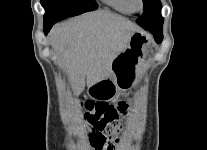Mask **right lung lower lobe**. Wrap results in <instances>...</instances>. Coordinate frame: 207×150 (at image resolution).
Here are the masks:
<instances>
[{
	"mask_svg": "<svg viewBox=\"0 0 207 150\" xmlns=\"http://www.w3.org/2000/svg\"><path fill=\"white\" fill-rule=\"evenodd\" d=\"M55 22L44 23V33L47 34Z\"/></svg>",
	"mask_w": 207,
	"mask_h": 150,
	"instance_id": "obj_1",
	"label": "right lung lower lobe"
}]
</instances>
